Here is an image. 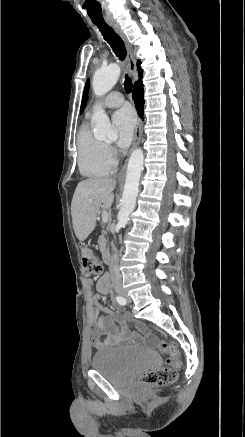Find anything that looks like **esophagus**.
Segmentation results:
<instances>
[{
    "label": "esophagus",
    "instance_id": "1",
    "mask_svg": "<svg viewBox=\"0 0 245 437\" xmlns=\"http://www.w3.org/2000/svg\"><path fill=\"white\" fill-rule=\"evenodd\" d=\"M109 25L115 30V32L121 37V39L123 40V42L125 43V46L127 48V65H128V70L129 73L133 76L136 73V59L133 53V49L132 46L130 45V43L128 42L125 34L123 33V31L121 30L120 26L116 23V22H109ZM141 136H142V121L139 118L137 125L135 127V132H134V140H133V144L131 147L130 152L139 145L140 140H141ZM125 168H126V164L122 167V169L120 170L119 174H118V178H122L125 172Z\"/></svg>",
    "mask_w": 245,
    "mask_h": 437
}]
</instances>
